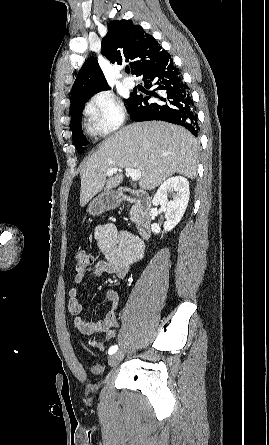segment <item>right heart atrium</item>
<instances>
[{
  "label": "right heart atrium",
  "mask_w": 269,
  "mask_h": 445,
  "mask_svg": "<svg viewBox=\"0 0 269 445\" xmlns=\"http://www.w3.org/2000/svg\"><path fill=\"white\" fill-rule=\"evenodd\" d=\"M85 113L101 133H112L125 121L122 102L108 92L93 95L85 105Z\"/></svg>",
  "instance_id": "right-heart-atrium-1"
}]
</instances>
